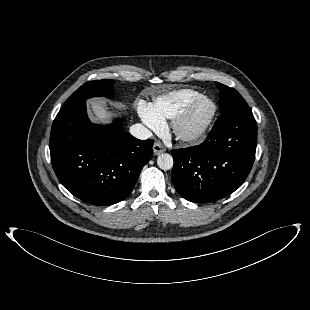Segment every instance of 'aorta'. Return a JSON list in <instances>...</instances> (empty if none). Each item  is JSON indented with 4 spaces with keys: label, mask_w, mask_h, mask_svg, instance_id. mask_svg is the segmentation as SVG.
Returning a JSON list of instances; mask_svg holds the SVG:
<instances>
[{
    "label": "aorta",
    "mask_w": 310,
    "mask_h": 310,
    "mask_svg": "<svg viewBox=\"0 0 310 310\" xmlns=\"http://www.w3.org/2000/svg\"><path fill=\"white\" fill-rule=\"evenodd\" d=\"M173 158L168 153H162L157 158V165L162 170H170L173 167Z\"/></svg>",
    "instance_id": "obj_1"
}]
</instances>
